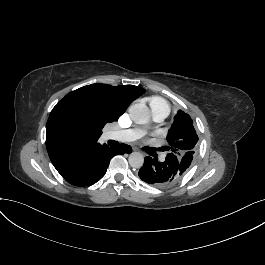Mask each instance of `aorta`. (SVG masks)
<instances>
[{
    "label": "aorta",
    "instance_id": "obj_1",
    "mask_svg": "<svg viewBox=\"0 0 265 265\" xmlns=\"http://www.w3.org/2000/svg\"><path fill=\"white\" fill-rule=\"evenodd\" d=\"M129 114L137 124H147L150 120V110L143 103L131 105ZM129 164L133 168H141L144 164V156L140 152H132L128 158Z\"/></svg>",
    "mask_w": 265,
    "mask_h": 265
}]
</instances>
